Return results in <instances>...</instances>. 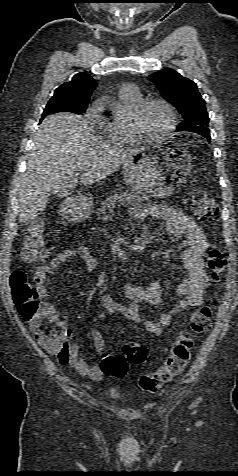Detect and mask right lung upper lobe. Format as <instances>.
<instances>
[{
  "label": "right lung upper lobe",
  "mask_w": 238,
  "mask_h": 476,
  "mask_svg": "<svg viewBox=\"0 0 238 476\" xmlns=\"http://www.w3.org/2000/svg\"><path fill=\"white\" fill-rule=\"evenodd\" d=\"M96 88V80L88 73L80 72L72 78L71 81L58 87L54 96H66L72 99L74 104L88 105V101Z\"/></svg>",
  "instance_id": "1"
}]
</instances>
